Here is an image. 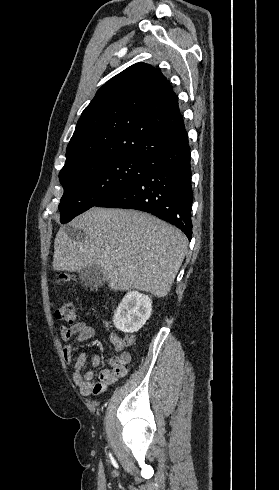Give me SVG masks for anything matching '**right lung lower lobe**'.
<instances>
[{"mask_svg":"<svg viewBox=\"0 0 279 490\" xmlns=\"http://www.w3.org/2000/svg\"><path fill=\"white\" fill-rule=\"evenodd\" d=\"M190 147L188 140L151 161L146 172L110 193L95 206L137 209L151 213L192 237Z\"/></svg>","mask_w":279,"mask_h":490,"instance_id":"obj_1","label":"right lung lower lobe"}]
</instances>
